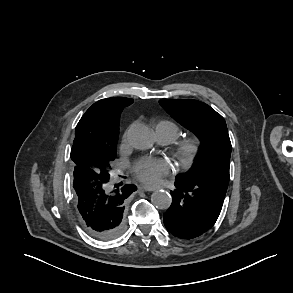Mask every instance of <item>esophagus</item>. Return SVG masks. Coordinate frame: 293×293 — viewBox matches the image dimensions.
<instances>
[{"instance_id": "1", "label": "esophagus", "mask_w": 293, "mask_h": 293, "mask_svg": "<svg viewBox=\"0 0 293 293\" xmlns=\"http://www.w3.org/2000/svg\"><path fill=\"white\" fill-rule=\"evenodd\" d=\"M158 188L155 187V186H140L139 187V190L140 191H155L157 190Z\"/></svg>"}]
</instances>
